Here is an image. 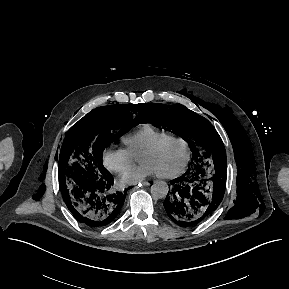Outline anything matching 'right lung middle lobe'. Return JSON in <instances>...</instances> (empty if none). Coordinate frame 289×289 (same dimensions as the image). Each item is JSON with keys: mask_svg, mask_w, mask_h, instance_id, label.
<instances>
[{"mask_svg": "<svg viewBox=\"0 0 289 289\" xmlns=\"http://www.w3.org/2000/svg\"><path fill=\"white\" fill-rule=\"evenodd\" d=\"M140 104L99 107L79 120L66 135L58 163L61 193H70L103 178L109 171L102 164L107 143L138 124L133 114Z\"/></svg>", "mask_w": 289, "mask_h": 289, "instance_id": "obj_1", "label": "right lung middle lobe"}]
</instances>
